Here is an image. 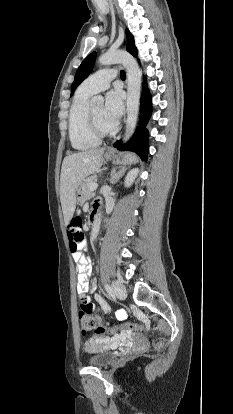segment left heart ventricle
I'll use <instances>...</instances> for the list:
<instances>
[{
	"mask_svg": "<svg viewBox=\"0 0 233 414\" xmlns=\"http://www.w3.org/2000/svg\"><path fill=\"white\" fill-rule=\"evenodd\" d=\"M91 112L94 116V119L97 123V125L102 129V130H109L111 129L114 125L112 123H110L104 116V112H103V106L102 105H98L95 107L91 108Z\"/></svg>",
	"mask_w": 233,
	"mask_h": 414,
	"instance_id": "left-heart-ventricle-1",
	"label": "left heart ventricle"
}]
</instances>
